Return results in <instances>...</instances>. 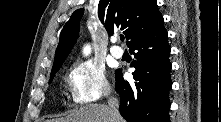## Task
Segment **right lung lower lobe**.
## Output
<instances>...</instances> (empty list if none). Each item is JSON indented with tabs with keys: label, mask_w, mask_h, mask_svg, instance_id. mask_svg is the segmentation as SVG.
I'll return each mask as SVG.
<instances>
[{
	"label": "right lung lower lobe",
	"mask_w": 221,
	"mask_h": 122,
	"mask_svg": "<svg viewBox=\"0 0 221 122\" xmlns=\"http://www.w3.org/2000/svg\"><path fill=\"white\" fill-rule=\"evenodd\" d=\"M129 51L135 56L132 67L134 84L115 75L116 92L120 95V114L128 122H169L171 89L170 47L163 20L146 36L134 42Z\"/></svg>",
	"instance_id": "right-lung-lower-lobe-1"
}]
</instances>
